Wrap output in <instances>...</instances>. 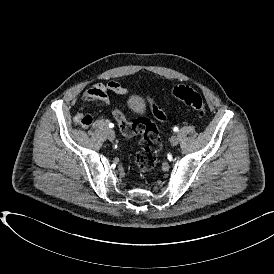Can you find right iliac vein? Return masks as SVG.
Instances as JSON below:
<instances>
[{
	"label": "right iliac vein",
	"instance_id": "63e3f726",
	"mask_svg": "<svg viewBox=\"0 0 274 274\" xmlns=\"http://www.w3.org/2000/svg\"><path fill=\"white\" fill-rule=\"evenodd\" d=\"M107 138L110 140V141H113L115 139V132L111 129H109L107 131Z\"/></svg>",
	"mask_w": 274,
	"mask_h": 274
}]
</instances>
